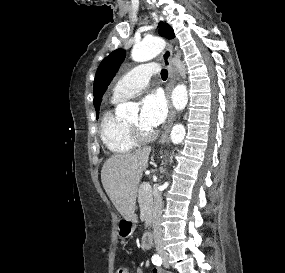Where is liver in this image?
Masks as SVG:
<instances>
[{
  "label": "liver",
  "mask_w": 285,
  "mask_h": 273,
  "mask_svg": "<svg viewBox=\"0 0 285 273\" xmlns=\"http://www.w3.org/2000/svg\"><path fill=\"white\" fill-rule=\"evenodd\" d=\"M150 147L133 153L113 155L102 167L101 181L103 187L116 207L126 220L136 217V194L143 172L148 167Z\"/></svg>",
  "instance_id": "1"
}]
</instances>
